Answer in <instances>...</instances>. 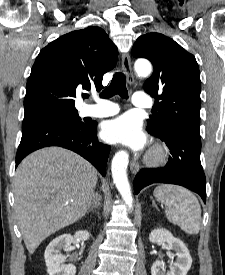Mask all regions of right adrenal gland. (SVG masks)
Returning a JSON list of instances; mask_svg holds the SVG:
<instances>
[{"label": "right adrenal gland", "mask_w": 225, "mask_h": 275, "mask_svg": "<svg viewBox=\"0 0 225 275\" xmlns=\"http://www.w3.org/2000/svg\"><path fill=\"white\" fill-rule=\"evenodd\" d=\"M100 206H101V196L98 193H96L93 203H92V206L89 209V212L93 211L96 208L97 209L100 208Z\"/></svg>", "instance_id": "obj_1"}]
</instances>
